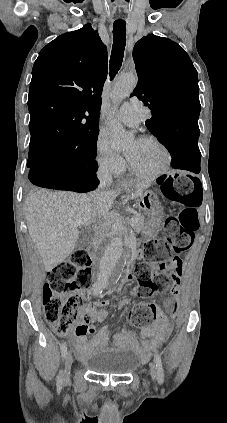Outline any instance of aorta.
I'll return each mask as SVG.
<instances>
[{
    "label": "aorta",
    "mask_w": 227,
    "mask_h": 423,
    "mask_svg": "<svg viewBox=\"0 0 227 423\" xmlns=\"http://www.w3.org/2000/svg\"><path fill=\"white\" fill-rule=\"evenodd\" d=\"M137 84V78L134 74H120L111 91L113 102L117 103L128 97ZM111 133V144L116 149L127 146L133 139V136L125 131L123 125L110 117L108 123ZM125 265L124 243L121 237H116L109 242L98 246L93 262V272L96 284L101 287L115 284L123 271Z\"/></svg>",
    "instance_id": "aorta-1"
}]
</instances>
